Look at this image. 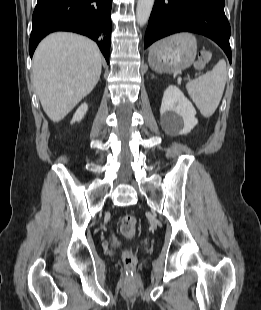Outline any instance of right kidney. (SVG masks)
Returning a JSON list of instances; mask_svg holds the SVG:
<instances>
[{
    "label": "right kidney",
    "mask_w": 261,
    "mask_h": 310,
    "mask_svg": "<svg viewBox=\"0 0 261 310\" xmlns=\"http://www.w3.org/2000/svg\"><path fill=\"white\" fill-rule=\"evenodd\" d=\"M87 110H88V105L86 103L81 104L79 108L76 110L71 123L81 121L84 115L86 114Z\"/></svg>",
    "instance_id": "1"
}]
</instances>
